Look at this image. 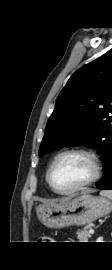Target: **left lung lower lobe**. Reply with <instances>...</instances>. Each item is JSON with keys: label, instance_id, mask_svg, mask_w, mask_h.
I'll return each mask as SVG.
<instances>
[{"label": "left lung lower lobe", "instance_id": "1", "mask_svg": "<svg viewBox=\"0 0 112 270\" xmlns=\"http://www.w3.org/2000/svg\"><path fill=\"white\" fill-rule=\"evenodd\" d=\"M99 189H112V154L104 164L103 178L96 183Z\"/></svg>", "mask_w": 112, "mask_h": 270}]
</instances>
